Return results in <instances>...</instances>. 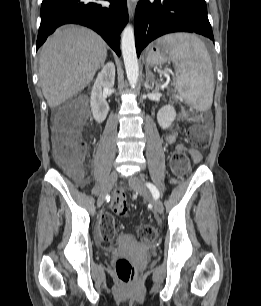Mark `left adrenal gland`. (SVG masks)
I'll return each instance as SVG.
<instances>
[{"instance_id": "1", "label": "left adrenal gland", "mask_w": 261, "mask_h": 306, "mask_svg": "<svg viewBox=\"0 0 261 306\" xmlns=\"http://www.w3.org/2000/svg\"><path fill=\"white\" fill-rule=\"evenodd\" d=\"M145 71H146V88L152 89L154 87V75L150 71L149 66H145Z\"/></svg>"}]
</instances>
